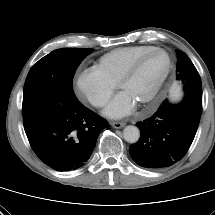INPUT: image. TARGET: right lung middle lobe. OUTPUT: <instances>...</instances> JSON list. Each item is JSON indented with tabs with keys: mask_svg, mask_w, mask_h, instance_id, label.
<instances>
[{
	"mask_svg": "<svg viewBox=\"0 0 215 215\" xmlns=\"http://www.w3.org/2000/svg\"><path fill=\"white\" fill-rule=\"evenodd\" d=\"M92 51L83 48L58 49L31 68L23 91L25 132L65 107L80 103L74 94L72 79L76 68Z\"/></svg>",
	"mask_w": 215,
	"mask_h": 215,
	"instance_id": "1",
	"label": "right lung middle lobe"
}]
</instances>
